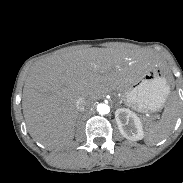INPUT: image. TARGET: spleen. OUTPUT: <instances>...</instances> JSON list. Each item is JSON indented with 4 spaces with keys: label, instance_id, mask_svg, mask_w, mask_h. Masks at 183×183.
I'll use <instances>...</instances> for the list:
<instances>
[{
    "label": "spleen",
    "instance_id": "3e777b00",
    "mask_svg": "<svg viewBox=\"0 0 183 183\" xmlns=\"http://www.w3.org/2000/svg\"><path fill=\"white\" fill-rule=\"evenodd\" d=\"M138 88L142 89L141 92H139V95L147 93L144 84H140ZM177 110V98L173 96L170 98L169 104L164 109L162 118L155 123H146L145 143L147 145H156L169 135V133L174 128V125L177 120Z\"/></svg>",
    "mask_w": 183,
    "mask_h": 183
}]
</instances>
